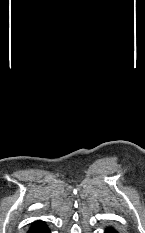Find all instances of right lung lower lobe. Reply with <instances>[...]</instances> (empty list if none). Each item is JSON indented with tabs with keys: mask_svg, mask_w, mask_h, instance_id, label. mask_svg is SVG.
Here are the masks:
<instances>
[{
	"mask_svg": "<svg viewBox=\"0 0 145 233\" xmlns=\"http://www.w3.org/2000/svg\"><path fill=\"white\" fill-rule=\"evenodd\" d=\"M28 233H50V230L45 222L38 220L30 225Z\"/></svg>",
	"mask_w": 145,
	"mask_h": 233,
	"instance_id": "right-lung-lower-lobe-1",
	"label": "right lung lower lobe"
}]
</instances>
